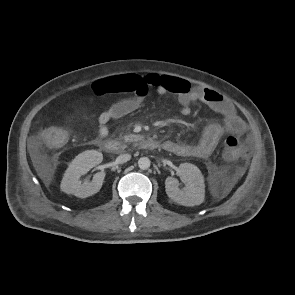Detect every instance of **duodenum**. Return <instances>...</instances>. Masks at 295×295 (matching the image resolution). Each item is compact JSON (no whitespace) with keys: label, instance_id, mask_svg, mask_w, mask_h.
Returning a JSON list of instances; mask_svg holds the SVG:
<instances>
[{"label":"duodenum","instance_id":"410a0bca","mask_svg":"<svg viewBox=\"0 0 295 295\" xmlns=\"http://www.w3.org/2000/svg\"><path fill=\"white\" fill-rule=\"evenodd\" d=\"M97 145L102 151L106 153H113L120 148V144L113 140L100 139L97 141ZM140 145L142 148L149 150L156 149L160 146V144L153 139H144L140 142Z\"/></svg>","mask_w":295,"mask_h":295}]
</instances>
